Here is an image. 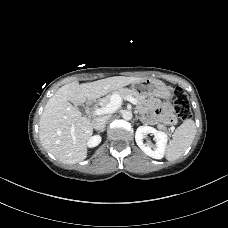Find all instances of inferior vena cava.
I'll return each instance as SVG.
<instances>
[{"label": "inferior vena cava", "mask_w": 228, "mask_h": 228, "mask_svg": "<svg viewBox=\"0 0 228 228\" xmlns=\"http://www.w3.org/2000/svg\"><path fill=\"white\" fill-rule=\"evenodd\" d=\"M110 116L96 117L92 121L95 130H103Z\"/></svg>", "instance_id": "obj_1"}]
</instances>
